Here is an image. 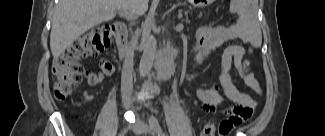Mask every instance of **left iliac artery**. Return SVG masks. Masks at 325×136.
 I'll list each match as a JSON object with an SVG mask.
<instances>
[{"label": "left iliac artery", "mask_w": 325, "mask_h": 136, "mask_svg": "<svg viewBox=\"0 0 325 136\" xmlns=\"http://www.w3.org/2000/svg\"><path fill=\"white\" fill-rule=\"evenodd\" d=\"M149 124H150L151 127H153L156 130V132L158 133L159 136H164L165 135L162 132V129H161L156 117L151 116L150 120H149Z\"/></svg>", "instance_id": "obj_1"}]
</instances>
